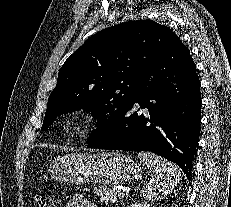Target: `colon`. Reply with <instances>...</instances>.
<instances>
[{"label":"colon","instance_id":"obj_1","mask_svg":"<svg viewBox=\"0 0 231 207\" xmlns=\"http://www.w3.org/2000/svg\"><path fill=\"white\" fill-rule=\"evenodd\" d=\"M38 207H55L54 201L50 196H41Z\"/></svg>","mask_w":231,"mask_h":207}]
</instances>
